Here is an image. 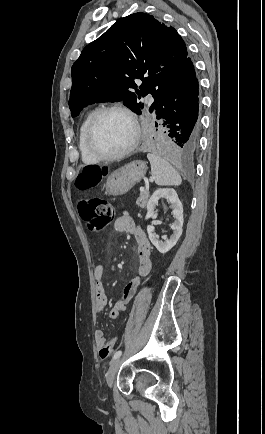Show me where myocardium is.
Here are the masks:
<instances>
[{
	"label": "myocardium",
	"instance_id": "myocardium-1",
	"mask_svg": "<svg viewBox=\"0 0 265 434\" xmlns=\"http://www.w3.org/2000/svg\"><path fill=\"white\" fill-rule=\"evenodd\" d=\"M112 111H120L126 114L130 119L134 130L133 139L129 147L117 154L106 153L99 147L96 140V136L98 133V125L101 118L106 113ZM140 137H141V130L135 114L125 105L112 104V105L103 106L97 109L96 112L94 113L89 124L88 135L86 136V144L90 153L100 161H106V162L118 161L131 155L137 149L140 142Z\"/></svg>",
	"mask_w": 265,
	"mask_h": 434
}]
</instances>
